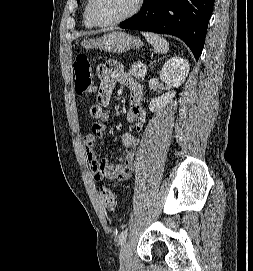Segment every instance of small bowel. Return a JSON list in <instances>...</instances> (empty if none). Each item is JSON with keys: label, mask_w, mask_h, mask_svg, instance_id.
I'll return each instance as SVG.
<instances>
[{"label": "small bowel", "mask_w": 253, "mask_h": 271, "mask_svg": "<svg viewBox=\"0 0 253 271\" xmlns=\"http://www.w3.org/2000/svg\"><path fill=\"white\" fill-rule=\"evenodd\" d=\"M98 79V101L90 107V116L94 123L90 131L82 138L83 148L94 180H126L135 168V149L139 144V138L131 132L122 135V144L125 147L123 162L111 164L107 160H99L94 147L97 140L102 137L104 125L110 118L108 106L116 84L130 89V108L126 113L127 122L133 124L138 131L143 129L146 115L142 107V87L130 74L123 71L117 61H108L99 66Z\"/></svg>", "instance_id": "small-bowel-1"}]
</instances>
